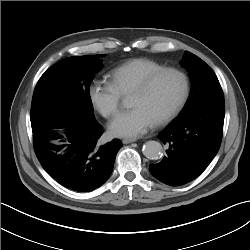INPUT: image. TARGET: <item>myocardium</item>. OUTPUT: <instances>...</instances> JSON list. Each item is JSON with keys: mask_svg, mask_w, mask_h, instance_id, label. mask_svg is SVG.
Listing matches in <instances>:
<instances>
[{"mask_svg": "<svg viewBox=\"0 0 250 250\" xmlns=\"http://www.w3.org/2000/svg\"><path fill=\"white\" fill-rule=\"evenodd\" d=\"M168 73L177 74L182 78L183 90H182L181 96L179 97L176 104L172 107V109L156 121L157 125H164V124L168 123L175 116H177V114L184 107V105L188 99L189 93H190V80H189L187 73L179 68L164 67L162 69H159V70L149 74L147 77H145L132 92V93H145V92H147L150 89V87L153 85V83L159 77H161L164 74H168Z\"/></svg>", "mask_w": 250, "mask_h": 250, "instance_id": "f54148a6", "label": "myocardium"}]
</instances>
